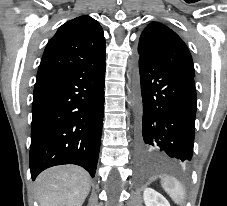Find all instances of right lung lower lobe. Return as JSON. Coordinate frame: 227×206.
Wrapping results in <instances>:
<instances>
[{
	"instance_id": "obj_1",
	"label": "right lung lower lobe",
	"mask_w": 227,
	"mask_h": 206,
	"mask_svg": "<svg viewBox=\"0 0 227 206\" xmlns=\"http://www.w3.org/2000/svg\"><path fill=\"white\" fill-rule=\"evenodd\" d=\"M105 60L36 80L32 103L31 177L60 164L95 175L104 114Z\"/></svg>"
}]
</instances>
